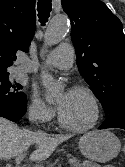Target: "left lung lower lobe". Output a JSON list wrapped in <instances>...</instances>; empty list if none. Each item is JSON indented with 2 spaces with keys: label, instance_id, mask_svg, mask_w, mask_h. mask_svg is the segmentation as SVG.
<instances>
[{
  "label": "left lung lower lobe",
  "instance_id": "1",
  "mask_svg": "<svg viewBox=\"0 0 125 167\" xmlns=\"http://www.w3.org/2000/svg\"><path fill=\"white\" fill-rule=\"evenodd\" d=\"M121 128L125 129V108H117L107 115L99 129Z\"/></svg>",
  "mask_w": 125,
  "mask_h": 167
}]
</instances>
